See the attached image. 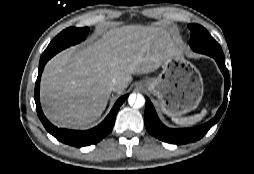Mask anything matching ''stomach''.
Returning <instances> with one entry per match:
<instances>
[{"instance_id":"1","label":"stomach","mask_w":254,"mask_h":174,"mask_svg":"<svg viewBox=\"0 0 254 174\" xmlns=\"http://www.w3.org/2000/svg\"><path fill=\"white\" fill-rule=\"evenodd\" d=\"M161 66V73L146 78L143 86L158 98L163 113L176 117L196 109L204 92L198 69L179 52L167 55Z\"/></svg>"}]
</instances>
